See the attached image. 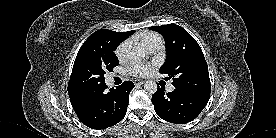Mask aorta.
I'll list each match as a JSON object with an SVG mask.
<instances>
[{"label":"aorta","mask_w":276,"mask_h":138,"mask_svg":"<svg viewBox=\"0 0 276 138\" xmlns=\"http://www.w3.org/2000/svg\"><path fill=\"white\" fill-rule=\"evenodd\" d=\"M127 57L131 62H139L145 57V51L138 47H132L127 52ZM144 89L148 94H154L157 91V84L154 81H146Z\"/></svg>","instance_id":"aorta-1"}]
</instances>
